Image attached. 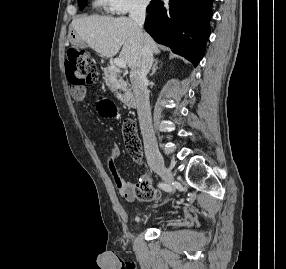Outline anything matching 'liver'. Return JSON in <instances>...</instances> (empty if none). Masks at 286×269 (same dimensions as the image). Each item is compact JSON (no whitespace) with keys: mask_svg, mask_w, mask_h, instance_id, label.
<instances>
[{"mask_svg":"<svg viewBox=\"0 0 286 269\" xmlns=\"http://www.w3.org/2000/svg\"><path fill=\"white\" fill-rule=\"evenodd\" d=\"M71 26L90 48L104 57L115 56L122 47L119 57L131 69L140 62L143 47L152 54L160 52L152 37L147 33H139L135 22L127 17L93 15L73 19Z\"/></svg>","mask_w":286,"mask_h":269,"instance_id":"obj_1","label":"liver"}]
</instances>
